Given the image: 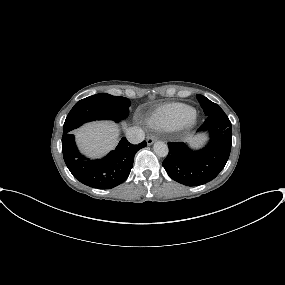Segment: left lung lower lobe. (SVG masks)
<instances>
[{
	"label": "left lung lower lobe",
	"mask_w": 285,
	"mask_h": 285,
	"mask_svg": "<svg viewBox=\"0 0 285 285\" xmlns=\"http://www.w3.org/2000/svg\"><path fill=\"white\" fill-rule=\"evenodd\" d=\"M199 131H208L209 143L193 151L183 142H168L169 153L162 163L175 181L198 186L213 180L224 168L231 151V122L224 112L207 116Z\"/></svg>",
	"instance_id": "1"
}]
</instances>
